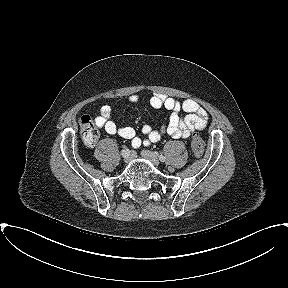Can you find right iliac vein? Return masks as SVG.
Instances as JSON below:
<instances>
[{
    "instance_id": "1",
    "label": "right iliac vein",
    "mask_w": 288,
    "mask_h": 288,
    "mask_svg": "<svg viewBox=\"0 0 288 288\" xmlns=\"http://www.w3.org/2000/svg\"><path fill=\"white\" fill-rule=\"evenodd\" d=\"M128 152H129V151H128ZM129 153H130V158H129V159H124V158H123V160H124L125 163L130 162V161L132 160V158L134 157L133 153H131V152H129Z\"/></svg>"
}]
</instances>
